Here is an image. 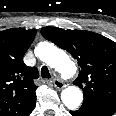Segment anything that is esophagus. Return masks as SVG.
Returning a JSON list of instances; mask_svg holds the SVG:
<instances>
[{"label": "esophagus", "instance_id": "obj_1", "mask_svg": "<svg viewBox=\"0 0 116 116\" xmlns=\"http://www.w3.org/2000/svg\"><path fill=\"white\" fill-rule=\"evenodd\" d=\"M52 82H53L54 87L59 89V90L66 87L65 83L62 80H60L59 78H54L52 80Z\"/></svg>", "mask_w": 116, "mask_h": 116}]
</instances>
